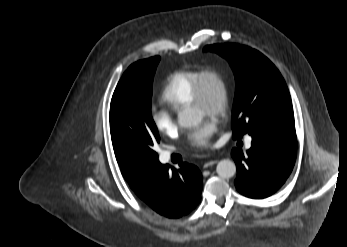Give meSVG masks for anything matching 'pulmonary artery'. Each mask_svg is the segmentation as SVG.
Listing matches in <instances>:
<instances>
[{
    "label": "pulmonary artery",
    "mask_w": 347,
    "mask_h": 247,
    "mask_svg": "<svg viewBox=\"0 0 347 247\" xmlns=\"http://www.w3.org/2000/svg\"><path fill=\"white\" fill-rule=\"evenodd\" d=\"M247 146H250V140H247ZM169 154H166L168 156Z\"/></svg>",
    "instance_id": "1"
}]
</instances>
